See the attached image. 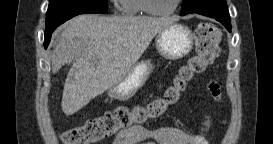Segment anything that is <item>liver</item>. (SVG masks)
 <instances>
[{
  "label": "liver",
  "instance_id": "6515ba94",
  "mask_svg": "<svg viewBox=\"0 0 273 144\" xmlns=\"http://www.w3.org/2000/svg\"><path fill=\"white\" fill-rule=\"evenodd\" d=\"M174 18L79 15L55 33L60 39L51 57L55 74L73 61L65 81L62 110L69 116L118 84L156 34Z\"/></svg>",
  "mask_w": 273,
  "mask_h": 144
}]
</instances>
